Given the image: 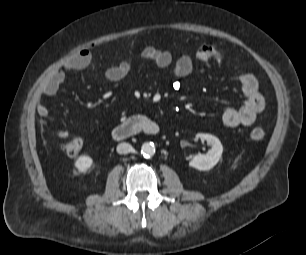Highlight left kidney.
Segmentation results:
<instances>
[{
	"label": "left kidney",
	"mask_w": 306,
	"mask_h": 255,
	"mask_svg": "<svg viewBox=\"0 0 306 255\" xmlns=\"http://www.w3.org/2000/svg\"><path fill=\"white\" fill-rule=\"evenodd\" d=\"M196 138L207 141L211 146V149H209L206 154H198L194 156L189 162V166L202 171L210 170L220 160L223 146L220 140L211 134L199 133L196 135Z\"/></svg>",
	"instance_id": "5707ae66"
}]
</instances>
